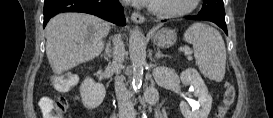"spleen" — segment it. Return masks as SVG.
Wrapping results in <instances>:
<instances>
[{"label": "spleen", "mask_w": 273, "mask_h": 118, "mask_svg": "<svg viewBox=\"0 0 273 118\" xmlns=\"http://www.w3.org/2000/svg\"><path fill=\"white\" fill-rule=\"evenodd\" d=\"M184 40L193 45L200 72L210 80L222 81L226 68V48L220 33L209 25L194 23L184 33Z\"/></svg>", "instance_id": "1"}]
</instances>
